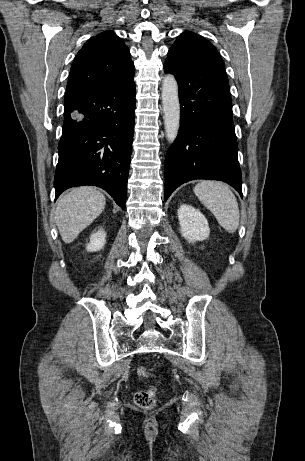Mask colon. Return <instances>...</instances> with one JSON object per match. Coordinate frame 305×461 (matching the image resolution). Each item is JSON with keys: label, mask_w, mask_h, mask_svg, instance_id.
Wrapping results in <instances>:
<instances>
[{"label": "colon", "mask_w": 305, "mask_h": 461, "mask_svg": "<svg viewBox=\"0 0 305 461\" xmlns=\"http://www.w3.org/2000/svg\"><path fill=\"white\" fill-rule=\"evenodd\" d=\"M136 372L141 378H149L152 375L151 371L144 366L137 367ZM157 395L158 388L156 386H151L148 389L138 391L134 396V401L139 408L149 410L156 405Z\"/></svg>", "instance_id": "1"}]
</instances>
